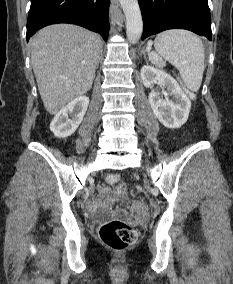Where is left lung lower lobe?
<instances>
[{"instance_id":"0a47b994","label":"left lung lower lobe","mask_w":233,"mask_h":284,"mask_svg":"<svg viewBox=\"0 0 233 284\" xmlns=\"http://www.w3.org/2000/svg\"><path fill=\"white\" fill-rule=\"evenodd\" d=\"M143 17L142 40L167 29H187L211 40L208 0H138Z\"/></svg>"}]
</instances>
